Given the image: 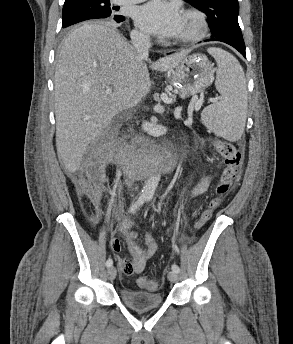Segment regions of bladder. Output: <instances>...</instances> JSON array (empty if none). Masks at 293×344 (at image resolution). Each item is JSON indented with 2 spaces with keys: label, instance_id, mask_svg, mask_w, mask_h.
<instances>
[{
  "label": "bladder",
  "instance_id": "bladder-1",
  "mask_svg": "<svg viewBox=\"0 0 293 344\" xmlns=\"http://www.w3.org/2000/svg\"><path fill=\"white\" fill-rule=\"evenodd\" d=\"M120 297L126 305L138 311L157 308L161 306L164 301L161 293L132 290L128 288L120 289Z\"/></svg>",
  "mask_w": 293,
  "mask_h": 344
}]
</instances>
